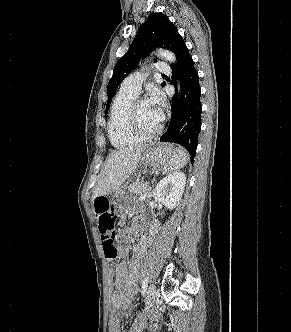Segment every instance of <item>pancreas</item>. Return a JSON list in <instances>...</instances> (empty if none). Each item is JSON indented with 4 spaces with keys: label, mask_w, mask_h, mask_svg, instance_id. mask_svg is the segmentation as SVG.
<instances>
[{
    "label": "pancreas",
    "mask_w": 291,
    "mask_h": 332,
    "mask_svg": "<svg viewBox=\"0 0 291 332\" xmlns=\"http://www.w3.org/2000/svg\"><path fill=\"white\" fill-rule=\"evenodd\" d=\"M130 193L138 196H147L151 191L149 182H136L128 187Z\"/></svg>",
    "instance_id": "1"
}]
</instances>
